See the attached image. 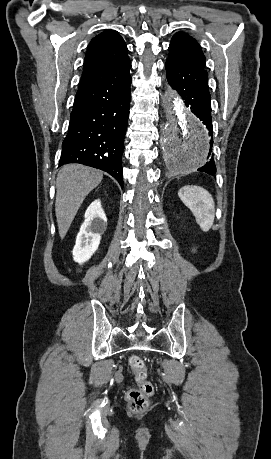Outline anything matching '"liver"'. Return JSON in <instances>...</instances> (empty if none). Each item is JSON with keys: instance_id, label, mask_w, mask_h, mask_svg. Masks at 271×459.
I'll use <instances>...</instances> for the list:
<instances>
[{"instance_id": "liver-1", "label": "liver", "mask_w": 271, "mask_h": 459, "mask_svg": "<svg viewBox=\"0 0 271 459\" xmlns=\"http://www.w3.org/2000/svg\"><path fill=\"white\" fill-rule=\"evenodd\" d=\"M103 172L81 164L61 168L56 182V218L61 239L65 237L81 204L91 190L102 182Z\"/></svg>"}]
</instances>
